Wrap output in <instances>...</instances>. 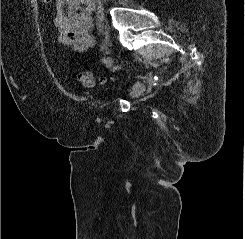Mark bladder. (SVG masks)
<instances>
[{
  "mask_svg": "<svg viewBox=\"0 0 245 239\" xmlns=\"http://www.w3.org/2000/svg\"><path fill=\"white\" fill-rule=\"evenodd\" d=\"M145 91L146 86L141 84L133 85L129 89V96L131 100H138L144 94Z\"/></svg>",
  "mask_w": 245,
  "mask_h": 239,
  "instance_id": "1",
  "label": "bladder"
}]
</instances>
